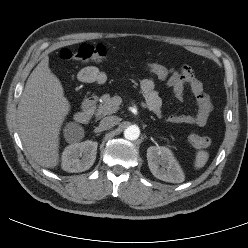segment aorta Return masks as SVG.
Wrapping results in <instances>:
<instances>
[{
	"label": "aorta",
	"instance_id": "762f6f07",
	"mask_svg": "<svg viewBox=\"0 0 248 248\" xmlns=\"http://www.w3.org/2000/svg\"><path fill=\"white\" fill-rule=\"evenodd\" d=\"M140 135V129L136 125L128 126L124 131V137L127 140H136Z\"/></svg>",
	"mask_w": 248,
	"mask_h": 248
}]
</instances>
